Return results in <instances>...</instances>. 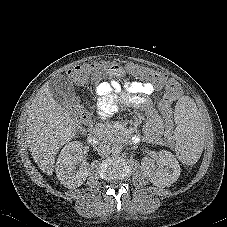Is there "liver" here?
Returning <instances> with one entry per match:
<instances>
[{
  "label": "liver",
  "mask_w": 227,
  "mask_h": 227,
  "mask_svg": "<svg viewBox=\"0 0 227 227\" xmlns=\"http://www.w3.org/2000/svg\"><path fill=\"white\" fill-rule=\"evenodd\" d=\"M76 133L74 119L55 101L46 82L28 110L26 137L29 151L39 168L53 174L55 156Z\"/></svg>",
  "instance_id": "liver-1"
}]
</instances>
